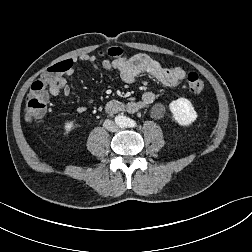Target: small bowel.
<instances>
[{
  "label": "small bowel",
  "mask_w": 252,
  "mask_h": 252,
  "mask_svg": "<svg viewBox=\"0 0 252 252\" xmlns=\"http://www.w3.org/2000/svg\"><path fill=\"white\" fill-rule=\"evenodd\" d=\"M87 62L96 67L97 59L93 55L82 54L74 59L66 60L69 69L66 75L73 73V64L75 62ZM106 71L116 70L119 72L121 79L128 84H132L143 75L148 74L162 85L173 87L186 78V72L180 67H163L159 62L146 54H136L130 57H119L113 61L104 60L102 63ZM52 96L61 94L68 96L71 87L66 79L60 78L57 84L48 89ZM155 100V94L151 91L145 92L139 101H130L126 104V111L134 113L147 109Z\"/></svg>",
  "instance_id": "c3829d8e"
}]
</instances>
